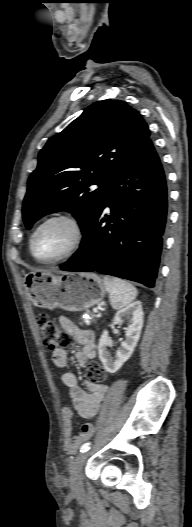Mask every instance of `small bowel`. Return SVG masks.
<instances>
[{
  "mask_svg": "<svg viewBox=\"0 0 192 527\" xmlns=\"http://www.w3.org/2000/svg\"><path fill=\"white\" fill-rule=\"evenodd\" d=\"M59 322L63 329L81 346V349L75 354V361L78 366L84 367L96 355L93 331L79 327L74 321L65 316H61ZM52 361L56 367L64 368L68 362L67 351L63 348L53 350ZM61 381L68 388V394L73 406V409L65 407L62 410L64 450L67 453H74L92 435L94 430L92 424L85 423L82 426V432L72 437L74 412L85 419L93 418L101 407L108 386L103 384L96 385L86 381L84 389L79 385L78 378L73 372L63 373Z\"/></svg>",
  "mask_w": 192,
  "mask_h": 527,
  "instance_id": "small-bowel-1",
  "label": "small bowel"
}]
</instances>
